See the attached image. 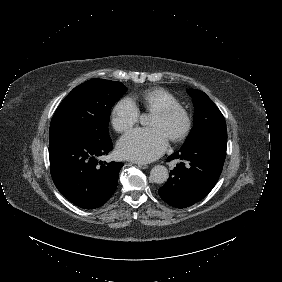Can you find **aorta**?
Wrapping results in <instances>:
<instances>
[{
	"mask_svg": "<svg viewBox=\"0 0 282 282\" xmlns=\"http://www.w3.org/2000/svg\"><path fill=\"white\" fill-rule=\"evenodd\" d=\"M148 120L147 115L140 117L141 124H147ZM150 177L154 183H164L169 177L168 169L164 165H156L151 169Z\"/></svg>",
	"mask_w": 282,
	"mask_h": 282,
	"instance_id": "obj_1",
	"label": "aorta"
}]
</instances>
